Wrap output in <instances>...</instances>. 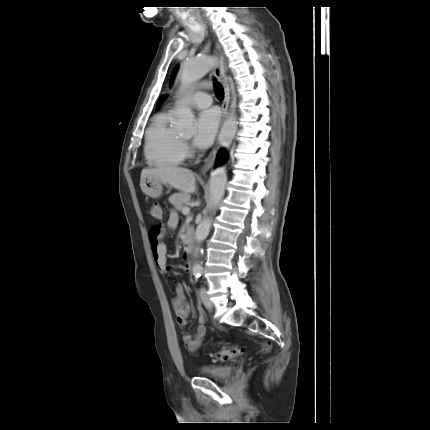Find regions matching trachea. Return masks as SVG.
I'll list each match as a JSON object with an SVG mask.
<instances>
[{"mask_svg": "<svg viewBox=\"0 0 430 430\" xmlns=\"http://www.w3.org/2000/svg\"><path fill=\"white\" fill-rule=\"evenodd\" d=\"M215 95L218 99H223L224 91L220 84L215 83Z\"/></svg>", "mask_w": 430, "mask_h": 430, "instance_id": "3493384b", "label": "trachea"}]
</instances>
